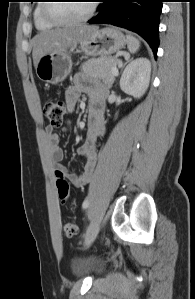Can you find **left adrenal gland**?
Segmentation results:
<instances>
[{
    "label": "left adrenal gland",
    "mask_w": 195,
    "mask_h": 299,
    "mask_svg": "<svg viewBox=\"0 0 195 299\" xmlns=\"http://www.w3.org/2000/svg\"><path fill=\"white\" fill-rule=\"evenodd\" d=\"M128 62H129V60L124 64V66H125ZM124 66H123V67H124Z\"/></svg>",
    "instance_id": "1"
}]
</instances>
